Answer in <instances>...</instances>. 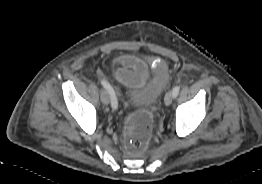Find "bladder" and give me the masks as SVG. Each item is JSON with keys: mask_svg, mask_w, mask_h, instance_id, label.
Returning <instances> with one entry per match:
<instances>
[{"mask_svg": "<svg viewBox=\"0 0 262 184\" xmlns=\"http://www.w3.org/2000/svg\"><path fill=\"white\" fill-rule=\"evenodd\" d=\"M166 85L165 77L154 76L143 87H131L129 102L137 108L151 106L159 99Z\"/></svg>", "mask_w": 262, "mask_h": 184, "instance_id": "obj_1", "label": "bladder"}]
</instances>
